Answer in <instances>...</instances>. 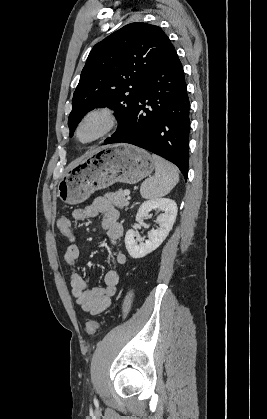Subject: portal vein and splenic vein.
<instances>
[{"label":"portal vein and splenic vein","instance_id":"obj_1","mask_svg":"<svg viewBox=\"0 0 267 419\" xmlns=\"http://www.w3.org/2000/svg\"><path fill=\"white\" fill-rule=\"evenodd\" d=\"M124 194L129 196L130 195V191L129 190H124Z\"/></svg>","mask_w":267,"mask_h":419}]
</instances>
